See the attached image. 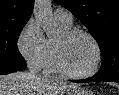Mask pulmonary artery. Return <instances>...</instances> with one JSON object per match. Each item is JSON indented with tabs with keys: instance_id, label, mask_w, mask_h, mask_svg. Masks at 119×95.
<instances>
[{
	"instance_id": "pulmonary-artery-1",
	"label": "pulmonary artery",
	"mask_w": 119,
	"mask_h": 95,
	"mask_svg": "<svg viewBox=\"0 0 119 95\" xmlns=\"http://www.w3.org/2000/svg\"><path fill=\"white\" fill-rule=\"evenodd\" d=\"M54 18L63 24H72L73 22V18H72V14L65 8H57L54 11Z\"/></svg>"
}]
</instances>
